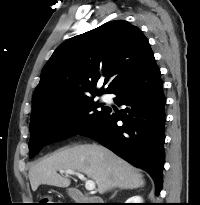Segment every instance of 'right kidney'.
Returning <instances> with one entry per match:
<instances>
[{"mask_svg": "<svg viewBox=\"0 0 200 205\" xmlns=\"http://www.w3.org/2000/svg\"><path fill=\"white\" fill-rule=\"evenodd\" d=\"M126 203H143V199L140 196H133L129 198Z\"/></svg>", "mask_w": 200, "mask_h": 205, "instance_id": "1", "label": "right kidney"}]
</instances>
